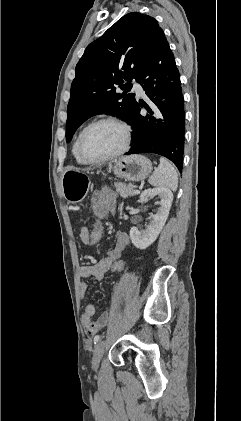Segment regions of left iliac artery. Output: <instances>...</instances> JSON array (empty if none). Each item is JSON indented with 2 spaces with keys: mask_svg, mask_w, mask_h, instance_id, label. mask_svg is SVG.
I'll return each mask as SVG.
<instances>
[{
  "mask_svg": "<svg viewBox=\"0 0 241 421\" xmlns=\"http://www.w3.org/2000/svg\"><path fill=\"white\" fill-rule=\"evenodd\" d=\"M100 339H101V337L99 335L95 336V338H94L95 343L100 341Z\"/></svg>",
  "mask_w": 241,
  "mask_h": 421,
  "instance_id": "44dca946",
  "label": "left iliac artery"
}]
</instances>
